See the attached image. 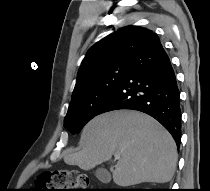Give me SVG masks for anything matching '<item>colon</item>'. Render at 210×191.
I'll list each match as a JSON object with an SVG mask.
<instances>
[{"mask_svg":"<svg viewBox=\"0 0 210 191\" xmlns=\"http://www.w3.org/2000/svg\"><path fill=\"white\" fill-rule=\"evenodd\" d=\"M89 178L77 170H56L40 175L36 180L38 191H103L88 189Z\"/></svg>","mask_w":210,"mask_h":191,"instance_id":"1","label":"colon"}]
</instances>
